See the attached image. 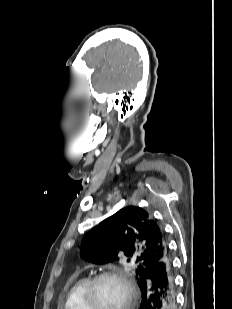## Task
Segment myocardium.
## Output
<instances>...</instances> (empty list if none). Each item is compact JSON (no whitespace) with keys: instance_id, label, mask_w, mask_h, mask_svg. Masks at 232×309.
I'll return each mask as SVG.
<instances>
[{"instance_id":"1","label":"myocardium","mask_w":232,"mask_h":309,"mask_svg":"<svg viewBox=\"0 0 232 309\" xmlns=\"http://www.w3.org/2000/svg\"><path fill=\"white\" fill-rule=\"evenodd\" d=\"M107 278L116 279L124 286L125 301L120 309H130L134 302L136 292L131 280L123 271L119 269H108L105 271H101L89 279L84 293V301L87 309H97L95 297L96 287L100 281Z\"/></svg>"}]
</instances>
